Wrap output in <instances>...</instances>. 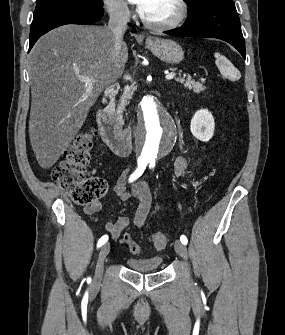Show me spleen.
Instances as JSON below:
<instances>
[{
    "mask_svg": "<svg viewBox=\"0 0 285 335\" xmlns=\"http://www.w3.org/2000/svg\"><path fill=\"white\" fill-rule=\"evenodd\" d=\"M215 58H219V54H215Z\"/></svg>",
    "mask_w": 285,
    "mask_h": 335,
    "instance_id": "spleen-1",
    "label": "spleen"
}]
</instances>
